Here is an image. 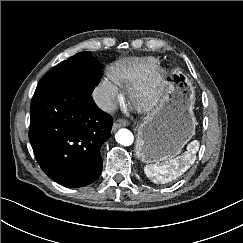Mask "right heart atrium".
Wrapping results in <instances>:
<instances>
[{
	"mask_svg": "<svg viewBox=\"0 0 243 243\" xmlns=\"http://www.w3.org/2000/svg\"><path fill=\"white\" fill-rule=\"evenodd\" d=\"M120 96L118 86L110 79L105 78L98 88V105L104 110H111Z\"/></svg>",
	"mask_w": 243,
	"mask_h": 243,
	"instance_id": "obj_1",
	"label": "right heart atrium"
}]
</instances>
